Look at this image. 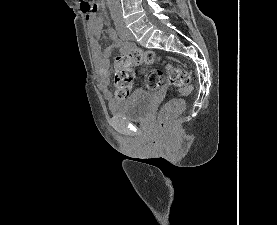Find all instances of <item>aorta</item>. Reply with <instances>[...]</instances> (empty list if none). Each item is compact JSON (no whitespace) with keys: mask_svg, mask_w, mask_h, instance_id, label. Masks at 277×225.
I'll return each instance as SVG.
<instances>
[{"mask_svg":"<svg viewBox=\"0 0 277 225\" xmlns=\"http://www.w3.org/2000/svg\"><path fill=\"white\" fill-rule=\"evenodd\" d=\"M111 17L114 21H120L122 18V9L119 0H107Z\"/></svg>","mask_w":277,"mask_h":225,"instance_id":"1","label":"aorta"}]
</instances>
